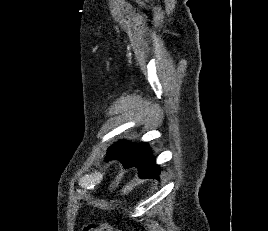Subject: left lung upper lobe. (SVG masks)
Segmentation results:
<instances>
[{"mask_svg": "<svg viewBox=\"0 0 268 231\" xmlns=\"http://www.w3.org/2000/svg\"><path fill=\"white\" fill-rule=\"evenodd\" d=\"M145 145H146V143H140L138 145H134V144H130L129 142H127L125 140H122V141H119L116 144L112 145L110 147V150L118 152V151H121V150H126V149H128L130 147L139 150V149H142Z\"/></svg>", "mask_w": 268, "mask_h": 231, "instance_id": "left-lung-upper-lobe-1", "label": "left lung upper lobe"}]
</instances>
